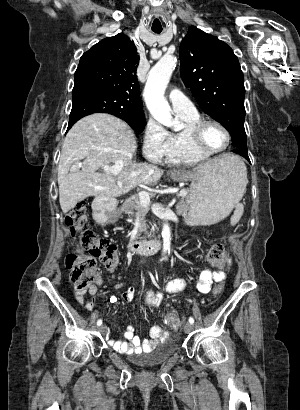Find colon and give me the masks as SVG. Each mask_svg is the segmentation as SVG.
I'll list each match as a JSON object with an SVG mask.
<instances>
[{
  "label": "colon",
  "mask_w": 300,
  "mask_h": 410,
  "mask_svg": "<svg viewBox=\"0 0 300 410\" xmlns=\"http://www.w3.org/2000/svg\"><path fill=\"white\" fill-rule=\"evenodd\" d=\"M87 205L79 202L65 217V225L70 228L73 236L78 235L80 243L87 250V254L71 253L66 257V267L70 271L72 284L79 290L85 289L97 277V260L108 269L115 268L119 263V257L115 244L98 235L86 225ZM206 259L220 265L225 262V248L222 244L212 245L206 254ZM223 290L222 284H217L214 293ZM165 322L170 327L179 325V317L169 312L165 316Z\"/></svg>",
  "instance_id": "obj_1"
}]
</instances>
